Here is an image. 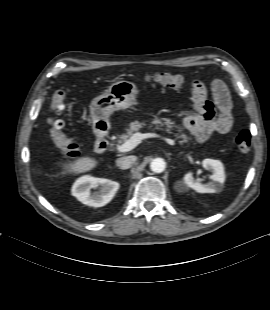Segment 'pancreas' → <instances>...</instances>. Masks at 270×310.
<instances>
[{
  "label": "pancreas",
  "mask_w": 270,
  "mask_h": 310,
  "mask_svg": "<svg viewBox=\"0 0 270 310\" xmlns=\"http://www.w3.org/2000/svg\"><path fill=\"white\" fill-rule=\"evenodd\" d=\"M144 126H146V122H139V121H134L129 124V128L126 130V134H122L119 136V140L117 141L118 143H123L129 140L134 132L140 131ZM151 129H156V130H163L164 128L166 131L170 132L174 128L177 129L178 134L176 136L181 139V143H187L189 140H191V137H188L185 133H182L183 128L180 126L175 125L173 121L169 118H154L151 122V124L148 126Z\"/></svg>",
  "instance_id": "pancreas-1"
}]
</instances>
